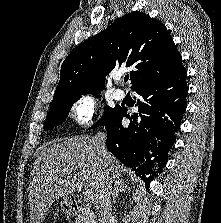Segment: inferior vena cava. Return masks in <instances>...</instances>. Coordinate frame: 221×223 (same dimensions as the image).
Here are the masks:
<instances>
[{
    "instance_id": "obj_1",
    "label": "inferior vena cava",
    "mask_w": 221,
    "mask_h": 223,
    "mask_svg": "<svg viewBox=\"0 0 221 223\" xmlns=\"http://www.w3.org/2000/svg\"><path fill=\"white\" fill-rule=\"evenodd\" d=\"M106 134L98 132L94 137L95 146L102 161V172L99 187V223H110L112 218V181L106 164L107 150L105 147Z\"/></svg>"
}]
</instances>
